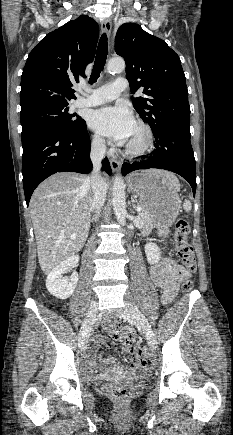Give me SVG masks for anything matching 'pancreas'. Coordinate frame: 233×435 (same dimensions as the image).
I'll list each match as a JSON object with an SVG mask.
<instances>
[{
	"label": "pancreas",
	"instance_id": "cf45deb5",
	"mask_svg": "<svg viewBox=\"0 0 233 435\" xmlns=\"http://www.w3.org/2000/svg\"><path fill=\"white\" fill-rule=\"evenodd\" d=\"M139 206L141 207V211L139 213V217L141 218L143 222V233L148 232L153 227V222L149 213L148 207L143 204L142 202L139 203Z\"/></svg>",
	"mask_w": 233,
	"mask_h": 435
}]
</instances>
